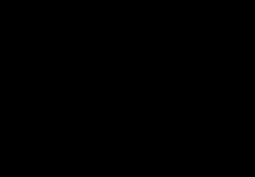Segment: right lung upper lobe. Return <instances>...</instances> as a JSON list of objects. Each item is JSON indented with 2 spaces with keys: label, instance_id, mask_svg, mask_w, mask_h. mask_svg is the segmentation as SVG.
Masks as SVG:
<instances>
[{
  "label": "right lung upper lobe",
  "instance_id": "cb5924a9",
  "mask_svg": "<svg viewBox=\"0 0 255 177\" xmlns=\"http://www.w3.org/2000/svg\"><path fill=\"white\" fill-rule=\"evenodd\" d=\"M109 45L104 36L81 34L52 58L45 76V96L58 125L66 127L69 119L88 116L98 108L92 83Z\"/></svg>",
  "mask_w": 255,
  "mask_h": 177
}]
</instances>
